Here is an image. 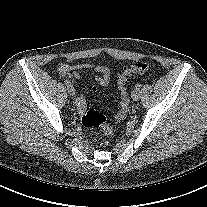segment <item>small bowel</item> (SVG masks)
<instances>
[{
	"mask_svg": "<svg viewBox=\"0 0 207 207\" xmlns=\"http://www.w3.org/2000/svg\"><path fill=\"white\" fill-rule=\"evenodd\" d=\"M82 70H93L96 73L93 80L98 82L101 86H107L109 84L111 71L109 67L105 65L63 63L58 67V73L61 76L68 77L72 82H76L80 78V71Z\"/></svg>",
	"mask_w": 207,
	"mask_h": 207,
	"instance_id": "c3829d8e",
	"label": "small bowel"
}]
</instances>
